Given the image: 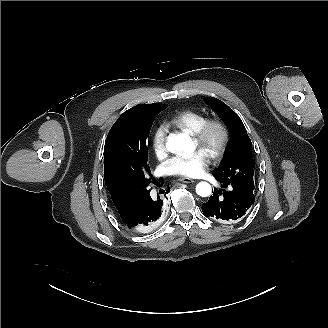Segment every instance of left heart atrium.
Wrapping results in <instances>:
<instances>
[{
	"mask_svg": "<svg viewBox=\"0 0 328 328\" xmlns=\"http://www.w3.org/2000/svg\"><path fill=\"white\" fill-rule=\"evenodd\" d=\"M209 165V157L201 150L192 151L188 154L171 159L166 167L169 173L185 177L202 176Z\"/></svg>",
	"mask_w": 328,
	"mask_h": 328,
	"instance_id": "1",
	"label": "left heart atrium"
}]
</instances>
